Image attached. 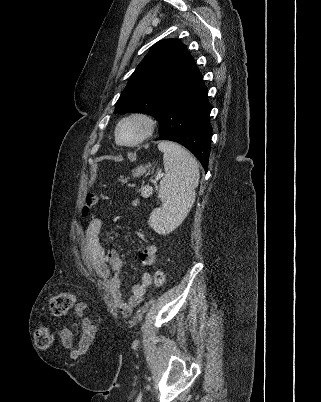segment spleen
<instances>
[{"mask_svg": "<svg viewBox=\"0 0 321 402\" xmlns=\"http://www.w3.org/2000/svg\"><path fill=\"white\" fill-rule=\"evenodd\" d=\"M165 175L160 181L158 197L162 206L155 208L148 220L159 234H167L186 217L195 202V189L199 184V167L195 158L180 145L161 141Z\"/></svg>", "mask_w": 321, "mask_h": 402, "instance_id": "spleen-1", "label": "spleen"}]
</instances>
